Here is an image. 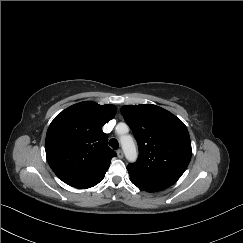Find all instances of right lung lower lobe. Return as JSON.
Masks as SVG:
<instances>
[{"mask_svg": "<svg viewBox=\"0 0 243 243\" xmlns=\"http://www.w3.org/2000/svg\"><path fill=\"white\" fill-rule=\"evenodd\" d=\"M104 176H105V174L102 175L101 177L97 178L96 180H94V181H92V182L80 187V189H86V188H90V187L95 186L96 184H98L99 182H101L103 180Z\"/></svg>", "mask_w": 243, "mask_h": 243, "instance_id": "right-lung-lower-lobe-1", "label": "right lung lower lobe"}]
</instances>
